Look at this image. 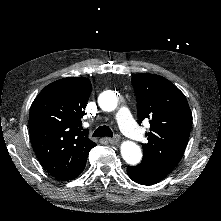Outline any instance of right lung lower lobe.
I'll return each mask as SVG.
<instances>
[{
  "mask_svg": "<svg viewBox=\"0 0 221 221\" xmlns=\"http://www.w3.org/2000/svg\"><path fill=\"white\" fill-rule=\"evenodd\" d=\"M85 165H86V164H85ZM84 168H85V166L82 167V168L76 173V175H74V177H73L72 179L76 178V177L83 171ZM72 179H70V180H72Z\"/></svg>",
  "mask_w": 221,
  "mask_h": 221,
  "instance_id": "right-lung-lower-lobe-1",
  "label": "right lung lower lobe"
}]
</instances>
